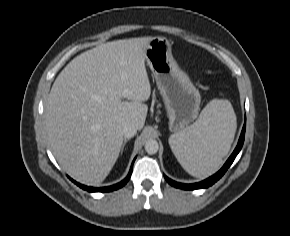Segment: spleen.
<instances>
[{
    "label": "spleen",
    "instance_id": "3e777b00",
    "mask_svg": "<svg viewBox=\"0 0 290 236\" xmlns=\"http://www.w3.org/2000/svg\"><path fill=\"white\" fill-rule=\"evenodd\" d=\"M236 128V115L230 101L213 99L194 124L169 137V144L178 162L190 175L207 177L223 164Z\"/></svg>",
    "mask_w": 290,
    "mask_h": 236
}]
</instances>
